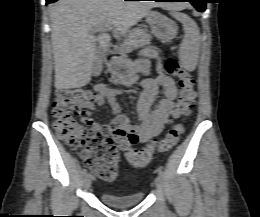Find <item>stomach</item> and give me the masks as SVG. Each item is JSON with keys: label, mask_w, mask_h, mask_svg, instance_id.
I'll return each mask as SVG.
<instances>
[{"label": "stomach", "mask_w": 260, "mask_h": 217, "mask_svg": "<svg viewBox=\"0 0 260 217\" xmlns=\"http://www.w3.org/2000/svg\"><path fill=\"white\" fill-rule=\"evenodd\" d=\"M146 22L149 24L151 32L160 40L169 41L177 34L176 24L159 12L148 11ZM112 68V72L115 76L127 79L132 77L136 72L148 74L149 63L147 61L134 63L129 60H121L116 64H113Z\"/></svg>", "instance_id": "0dacf381"}]
</instances>
